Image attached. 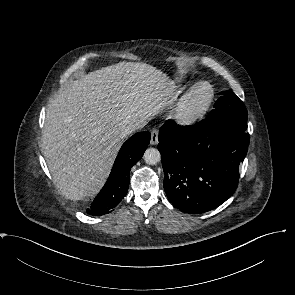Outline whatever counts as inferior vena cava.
<instances>
[{
    "instance_id": "obj_1",
    "label": "inferior vena cava",
    "mask_w": 295,
    "mask_h": 295,
    "mask_svg": "<svg viewBox=\"0 0 295 295\" xmlns=\"http://www.w3.org/2000/svg\"><path fill=\"white\" fill-rule=\"evenodd\" d=\"M141 128L140 124H133L125 127L123 131L120 133L121 139L127 137L130 135L132 132L136 131L137 129Z\"/></svg>"
}]
</instances>
